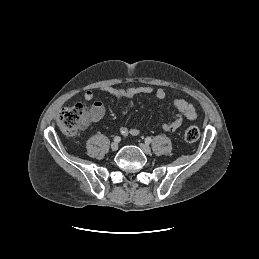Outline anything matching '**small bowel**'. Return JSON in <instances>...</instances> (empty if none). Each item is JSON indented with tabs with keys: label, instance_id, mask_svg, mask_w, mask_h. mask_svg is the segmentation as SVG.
Masks as SVG:
<instances>
[{
	"label": "small bowel",
	"instance_id": "obj_1",
	"mask_svg": "<svg viewBox=\"0 0 259 259\" xmlns=\"http://www.w3.org/2000/svg\"><path fill=\"white\" fill-rule=\"evenodd\" d=\"M100 90L114 95L122 103L124 102V100H126V102L123 103V108H122L123 113L129 111L133 107V99L138 95L155 93V96L159 100H163L167 96V93L163 88H158L154 90V88L150 85L137 86V87H125V88L103 86L100 88ZM93 98H94V93L91 90H88L84 93L85 100L91 101L93 100ZM172 105L177 110V116L171 122L164 123L162 125L163 130L167 132H174L183 125L185 120L196 119L197 112L195 107L191 103L187 102L186 100L182 98L174 99L172 101ZM93 109H94L93 119L99 120L104 113L103 105L100 102H95L93 105ZM120 133L123 136H128V135L137 136L140 133V131L138 128L121 127Z\"/></svg>",
	"mask_w": 259,
	"mask_h": 259
}]
</instances>
